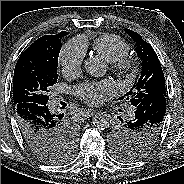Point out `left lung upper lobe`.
Instances as JSON below:
<instances>
[{
	"mask_svg": "<svg viewBox=\"0 0 184 184\" xmlns=\"http://www.w3.org/2000/svg\"><path fill=\"white\" fill-rule=\"evenodd\" d=\"M125 32L135 41V51L142 62V71L138 81L132 89L121 99L126 97L133 106L139 105L144 100L156 94L166 95L165 79L160 61L154 49L142 37L130 30ZM114 125L110 130L109 138L114 148V153L121 160H135L144 156L157 141L153 140L161 126L133 127L129 121H123ZM146 141L141 148L137 143Z\"/></svg>",
	"mask_w": 184,
	"mask_h": 184,
	"instance_id": "left-lung-upper-lobe-1",
	"label": "left lung upper lobe"
}]
</instances>
